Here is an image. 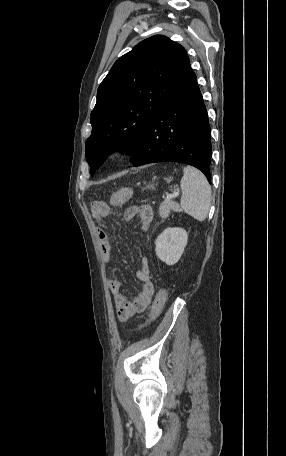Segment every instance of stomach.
Wrapping results in <instances>:
<instances>
[{
    "label": "stomach",
    "mask_w": 286,
    "mask_h": 456,
    "mask_svg": "<svg viewBox=\"0 0 286 456\" xmlns=\"http://www.w3.org/2000/svg\"><path fill=\"white\" fill-rule=\"evenodd\" d=\"M149 188H152V189H153V188H154V186H153V185H151V186H149Z\"/></svg>",
    "instance_id": "0dacf381"
}]
</instances>
